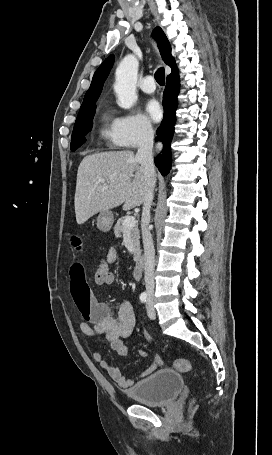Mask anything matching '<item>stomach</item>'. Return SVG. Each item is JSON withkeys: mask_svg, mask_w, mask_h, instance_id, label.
I'll return each instance as SVG.
<instances>
[{"mask_svg": "<svg viewBox=\"0 0 272 455\" xmlns=\"http://www.w3.org/2000/svg\"><path fill=\"white\" fill-rule=\"evenodd\" d=\"M114 222L113 213L109 210L100 212L97 217V227L102 232H108Z\"/></svg>", "mask_w": 272, "mask_h": 455, "instance_id": "stomach-1", "label": "stomach"}]
</instances>
